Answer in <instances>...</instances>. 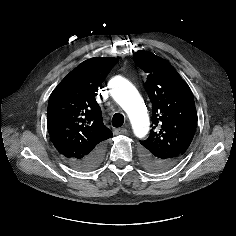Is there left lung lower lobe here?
<instances>
[{"mask_svg":"<svg viewBox=\"0 0 236 236\" xmlns=\"http://www.w3.org/2000/svg\"><path fill=\"white\" fill-rule=\"evenodd\" d=\"M178 160H179L178 157L164 159L161 162L160 171L159 172H163V171H166V170L170 169L171 167H173L178 162Z\"/></svg>","mask_w":236,"mask_h":236,"instance_id":"0a47b994","label":"left lung lower lobe"}]
</instances>
